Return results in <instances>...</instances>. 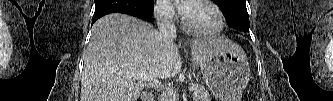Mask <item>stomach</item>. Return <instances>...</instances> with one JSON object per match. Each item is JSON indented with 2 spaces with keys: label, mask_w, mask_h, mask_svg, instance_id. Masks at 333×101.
Wrapping results in <instances>:
<instances>
[{
  "label": "stomach",
  "mask_w": 333,
  "mask_h": 101,
  "mask_svg": "<svg viewBox=\"0 0 333 101\" xmlns=\"http://www.w3.org/2000/svg\"><path fill=\"white\" fill-rule=\"evenodd\" d=\"M209 52L200 64L206 85L221 101H240L250 68L241 47L228 39L207 40Z\"/></svg>",
  "instance_id": "obj_1"
}]
</instances>
